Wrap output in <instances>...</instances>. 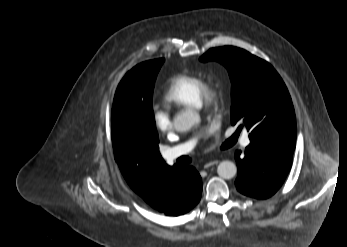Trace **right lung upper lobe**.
I'll return each instance as SVG.
<instances>
[{"label": "right lung upper lobe", "mask_w": 347, "mask_h": 247, "mask_svg": "<svg viewBox=\"0 0 347 247\" xmlns=\"http://www.w3.org/2000/svg\"><path fill=\"white\" fill-rule=\"evenodd\" d=\"M115 160L130 187L153 208L165 210L172 197L177 164L169 166L159 147L128 143L112 134Z\"/></svg>", "instance_id": "cb5924a9"}]
</instances>
